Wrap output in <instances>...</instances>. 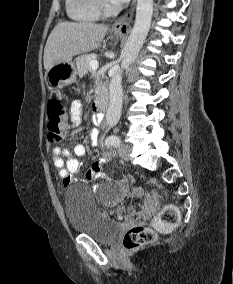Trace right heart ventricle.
Returning <instances> with one entry per match:
<instances>
[{
	"label": "right heart ventricle",
	"instance_id": "e07e8e85",
	"mask_svg": "<svg viewBox=\"0 0 233 284\" xmlns=\"http://www.w3.org/2000/svg\"><path fill=\"white\" fill-rule=\"evenodd\" d=\"M66 11L78 22H95L101 17L96 0H66Z\"/></svg>",
	"mask_w": 233,
	"mask_h": 284
}]
</instances>
